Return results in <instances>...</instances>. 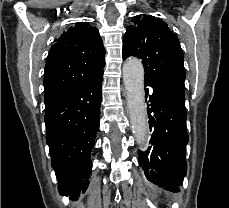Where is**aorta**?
I'll return each instance as SVG.
<instances>
[{"label":"aorta","instance_id":"1","mask_svg":"<svg viewBox=\"0 0 229 208\" xmlns=\"http://www.w3.org/2000/svg\"><path fill=\"white\" fill-rule=\"evenodd\" d=\"M123 81L127 91L132 132L139 146L147 143L149 128L144 98V68L138 58L127 59L123 64Z\"/></svg>","mask_w":229,"mask_h":208}]
</instances>
